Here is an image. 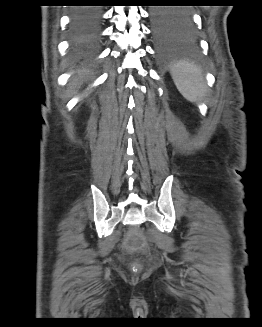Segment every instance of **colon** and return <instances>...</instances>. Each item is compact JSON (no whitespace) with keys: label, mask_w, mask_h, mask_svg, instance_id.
<instances>
[{"label":"colon","mask_w":262,"mask_h":327,"mask_svg":"<svg viewBox=\"0 0 262 327\" xmlns=\"http://www.w3.org/2000/svg\"><path fill=\"white\" fill-rule=\"evenodd\" d=\"M132 240L135 241V242H139V241L142 240V238H141L139 235L134 234V235L132 236Z\"/></svg>","instance_id":"obj_1"}]
</instances>
